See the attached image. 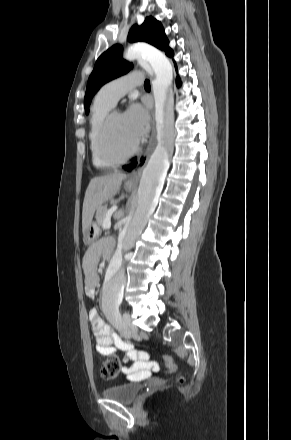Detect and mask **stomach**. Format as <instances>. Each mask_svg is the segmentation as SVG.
<instances>
[{
	"label": "stomach",
	"mask_w": 291,
	"mask_h": 440,
	"mask_svg": "<svg viewBox=\"0 0 291 440\" xmlns=\"http://www.w3.org/2000/svg\"><path fill=\"white\" fill-rule=\"evenodd\" d=\"M125 189L127 191H131L133 189V187L126 185ZM98 233H99L98 226L95 223H91V225L88 227V229L84 233L85 244L92 243L96 239V237L98 236Z\"/></svg>",
	"instance_id": "stomach-1"
}]
</instances>
